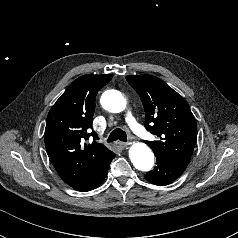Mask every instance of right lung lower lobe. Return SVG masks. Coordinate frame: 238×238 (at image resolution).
I'll return each instance as SVG.
<instances>
[{
	"label": "right lung lower lobe",
	"mask_w": 238,
	"mask_h": 238,
	"mask_svg": "<svg viewBox=\"0 0 238 238\" xmlns=\"http://www.w3.org/2000/svg\"><path fill=\"white\" fill-rule=\"evenodd\" d=\"M115 157L113 154L107 161L100 165L92 174L79 183L71 186L77 191L85 192L97 188L104 180L108 173L109 165L112 159Z\"/></svg>",
	"instance_id": "right-lung-lower-lobe-1"
}]
</instances>
